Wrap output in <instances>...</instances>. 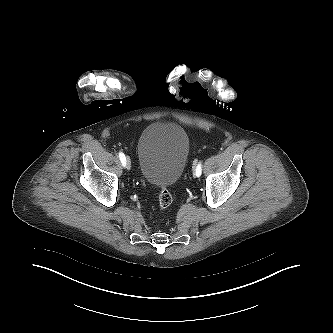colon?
Masks as SVG:
<instances>
[{"instance_id": "obj_1", "label": "colon", "mask_w": 333, "mask_h": 333, "mask_svg": "<svg viewBox=\"0 0 333 333\" xmlns=\"http://www.w3.org/2000/svg\"><path fill=\"white\" fill-rule=\"evenodd\" d=\"M158 202L161 210L168 209L172 203V195L165 186L160 188Z\"/></svg>"}]
</instances>
